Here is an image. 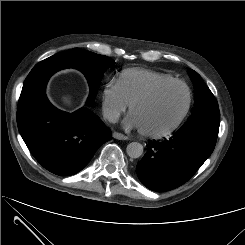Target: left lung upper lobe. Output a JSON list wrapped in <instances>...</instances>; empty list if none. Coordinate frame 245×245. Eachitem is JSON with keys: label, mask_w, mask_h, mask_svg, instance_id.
I'll return each mask as SVG.
<instances>
[{"label": "left lung upper lobe", "mask_w": 245, "mask_h": 245, "mask_svg": "<svg viewBox=\"0 0 245 245\" xmlns=\"http://www.w3.org/2000/svg\"><path fill=\"white\" fill-rule=\"evenodd\" d=\"M195 89V105L187 122L178 130L204 129L213 133L219 131L220 112L216 98L194 70L188 71Z\"/></svg>", "instance_id": "obj_1"}]
</instances>
